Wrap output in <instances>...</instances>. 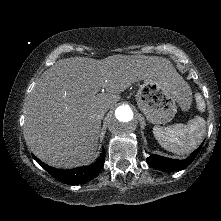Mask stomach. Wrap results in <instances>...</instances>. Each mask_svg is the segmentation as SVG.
Returning a JSON list of instances; mask_svg holds the SVG:
<instances>
[{
    "label": "stomach",
    "mask_w": 221,
    "mask_h": 221,
    "mask_svg": "<svg viewBox=\"0 0 221 221\" xmlns=\"http://www.w3.org/2000/svg\"><path fill=\"white\" fill-rule=\"evenodd\" d=\"M188 87L177 73L167 79H146L136 94L137 105L149 122L168 123L174 118L177 105L183 110L189 108L191 92Z\"/></svg>",
    "instance_id": "stomach-1"
}]
</instances>
